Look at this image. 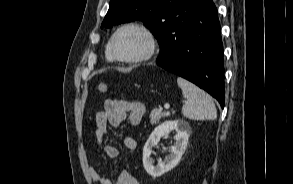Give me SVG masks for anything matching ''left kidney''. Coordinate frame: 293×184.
<instances>
[{"instance_id": "obj_1", "label": "left kidney", "mask_w": 293, "mask_h": 184, "mask_svg": "<svg viewBox=\"0 0 293 184\" xmlns=\"http://www.w3.org/2000/svg\"><path fill=\"white\" fill-rule=\"evenodd\" d=\"M175 132L174 145L170 148V154L164 161L158 160L156 166L151 158L152 148L158 145L162 136ZM191 127L184 120L165 121L154 129L143 148V166L146 172L152 177H160L164 173L173 169L181 160L187 147Z\"/></svg>"}]
</instances>
